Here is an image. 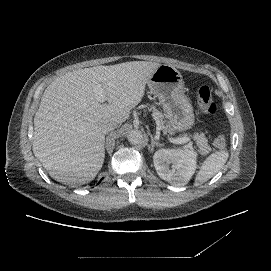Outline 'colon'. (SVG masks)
<instances>
[{"label": "colon", "mask_w": 271, "mask_h": 271, "mask_svg": "<svg viewBox=\"0 0 271 271\" xmlns=\"http://www.w3.org/2000/svg\"><path fill=\"white\" fill-rule=\"evenodd\" d=\"M196 104L199 110L207 115L213 116L216 112V104L211 92V89L206 85H200L195 94ZM214 145L218 149H223L226 146V137L220 134L216 137Z\"/></svg>", "instance_id": "colon-1"}]
</instances>
